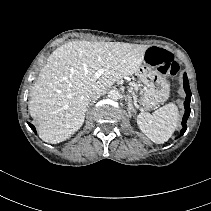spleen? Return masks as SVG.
I'll return each instance as SVG.
<instances>
[{
	"mask_svg": "<svg viewBox=\"0 0 211 211\" xmlns=\"http://www.w3.org/2000/svg\"><path fill=\"white\" fill-rule=\"evenodd\" d=\"M179 120L174 103L166 104L153 114L141 113L138 117L140 130L153 142L164 143L173 135Z\"/></svg>",
	"mask_w": 211,
	"mask_h": 211,
	"instance_id": "3e777b00",
	"label": "spleen"
}]
</instances>
